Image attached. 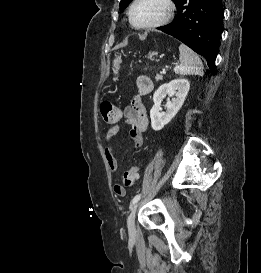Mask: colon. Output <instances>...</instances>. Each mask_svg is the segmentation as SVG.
Here are the masks:
<instances>
[{"label":"colon","instance_id":"1","mask_svg":"<svg viewBox=\"0 0 261 273\" xmlns=\"http://www.w3.org/2000/svg\"><path fill=\"white\" fill-rule=\"evenodd\" d=\"M101 114L103 116L104 121L109 125H115L118 123L121 117V111L118 107L108 101H104L100 106ZM139 177V168L137 166H133L128 169L122 177V182L116 184V190L118 193H122L125 191L126 187L132 186Z\"/></svg>","mask_w":261,"mask_h":273}]
</instances>
